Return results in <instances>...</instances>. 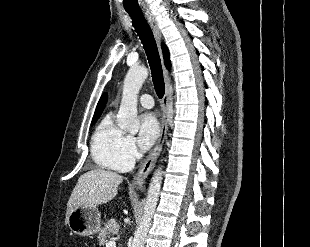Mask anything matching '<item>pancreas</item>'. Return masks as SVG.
<instances>
[{"label":"pancreas","instance_id":"1","mask_svg":"<svg viewBox=\"0 0 310 247\" xmlns=\"http://www.w3.org/2000/svg\"><path fill=\"white\" fill-rule=\"evenodd\" d=\"M119 228L120 227L116 223L115 220H113V219L109 220L105 224L104 228H102V230H101V232H100V234L98 236L100 245L107 244L108 243L107 238L110 237L111 235L118 234Z\"/></svg>","mask_w":310,"mask_h":247}]
</instances>
